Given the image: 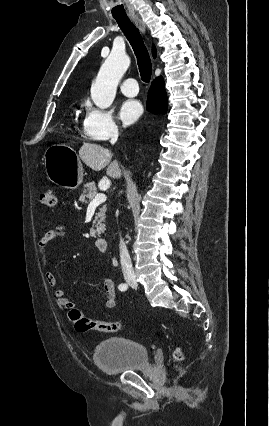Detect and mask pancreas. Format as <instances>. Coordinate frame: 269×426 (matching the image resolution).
Listing matches in <instances>:
<instances>
[{
  "mask_svg": "<svg viewBox=\"0 0 269 426\" xmlns=\"http://www.w3.org/2000/svg\"><path fill=\"white\" fill-rule=\"evenodd\" d=\"M96 196V185L94 182L86 183L83 188V192L80 196V200L83 203H87V200L91 201ZM106 206H103L99 209V212L96 214L95 219L93 221V227L90 229V235L95 237L96 235H100L101 232L105 231V213ZM94 227L96 229H94Z\"/></svg>",
  "mask_w": 269,
  "mask_h": 426,
  "instance_id": "cf45deb5",
  "label": "pancreas"
}]
</instances>
